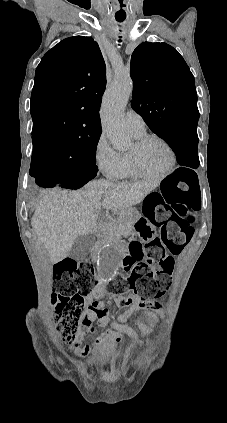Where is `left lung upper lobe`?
<instances>
[{
	"mask_svg": "<svg viewBox=\"0 0 227 423\" xmlns=\"http://www.w3.org/2000/svg\"><path fill=\"white\" fill-rule=\"evenodd\" d=\"M131 108L167 143L197 135L199 111L194 76L183 57L166 43L143 42L133 52Z\"/></svg>",
	"mask_w": 227,
	"mask_h": 423,
	"instance_id": "left-lung-upper-lobe-1",
	"label": "left lung upper lobe"
}]
</instances>
